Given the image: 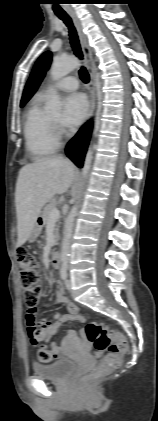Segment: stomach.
Here are the masks:
<instances>
[{
	"instance_id": "stomach-1",
	"label": "stomach",
	"mask_w": 158,
	"mask_h": 421,
	"mask_svg": "<svg viewBox=\"0 0 158 421\" xmlns=\"http://www.w3.org/2000/svg\"><path fill=\"white\" fill-rule=\"evenodd\" d=\"M42 226H43V222H42L41 218L39 217L36 220V222H35V224L33 226V229H32V231H31V233L29 235L28 240L30 242H33V241H35L37 239V237L39 236V234H40V232L42 230Z\"/></svg>"
}]
</instances>
